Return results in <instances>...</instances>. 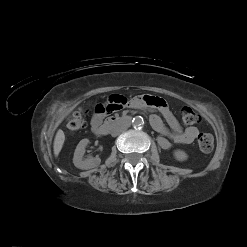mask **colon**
Segmentation results:
<instances>
[{"mask_svg":"<svg viewBox=\"0 0 247 247\" xmlns=\"http://www.w3.org/2000/svg\"><path fill=\"white\" fill-rule=\"evenodd\" d=\"M85 112L77 111L68 122V129L75 133L83 129L86 125ZM181 119L185 126H193L199 122V115L190 107H183L181 110ZM198 146L203 152H210L214 147V138L209 133H202L198 137Z\"/></svg>","mask_w":247,"mask_h":247,"instance_id":"5ec220e1","label":"colon"}]
</instances>
